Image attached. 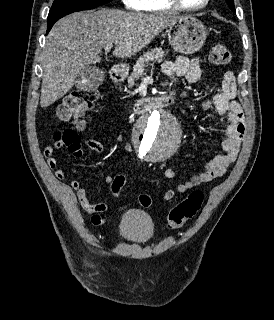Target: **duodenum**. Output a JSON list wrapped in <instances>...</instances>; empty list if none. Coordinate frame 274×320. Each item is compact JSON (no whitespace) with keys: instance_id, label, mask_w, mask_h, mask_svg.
Segmentation results:
<instances>
[{"instance_id":"410a0bca","label":"duodenum","mask_w":274,"mask_h":320,"mask_svg":"<svg viewBox=\"0 0 274 320\" xmlns=\"http://www.w3.org/2000/svg\"><path fill=\"white\" fill-rule=\"evenodd\" d=\"M111 78L113 81L119 82L123 78V75L120 72H112ZM174 102L175 98L169 95H162L158 97H146L138 102V108L140 110L145 111L154 108L165 107L173 104Z\"/></svg>"}]
</instances>
